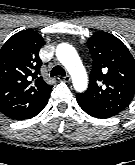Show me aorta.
Wrapping results in <instances>:
<instances>
[{
	"label": "aorta",
	"instance_id": "762f6f07",
	"mask_svg": "<svg viewBox=\"0 0 135 165\" xmlns=\"http://www.w3.org/2000/svg\"><path fill=\"white\" fill-rule=\"evenodd\" d=\"M56 56L70 73L75 90L78 92L86 90L87 74L75 48L70 44L62 43L56 49Z\"/></svg>",
	"mask_w": 135,
	"mask_h": 165
}]
</instances>
